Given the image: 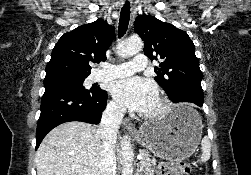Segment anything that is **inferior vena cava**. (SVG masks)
Wrapping results in <instances>:
<instances>
[{"label": "inferior vena cava", "instance_id": "inferior-vena-cava-1", "mask_svg": "<svg viewBox=\"0 0 251 175\" xmlns=\"http://www.w3.org/2000/svg\"><path fill=\"white\" fill-rule=\"evenodd\" d=\"M125 107L110 105L102 113L97 137L102 141L99 175H116L115 147L117 131L122 123Z\"/></svg>", "mask_w": 251, "mask_h": 175}]
</instances>
